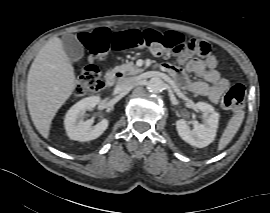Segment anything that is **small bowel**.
Returning a JSON list of instances; mask_svg holds the SVG:
<instances>
[{"label": "small bowel", "instance_id": "obj_1", "mask_svg": "<svg viewBox=\"0 0 270 213\" xmlns=\"http://www.w3.org/2000/svg\"><path fill=\"white\" fill-rule=\"evenodd\" d=\"M217 63V57L208 50L203 59L189 58L182 54L178 57L177 65L163 63L161 69L170 73L177 80L184 78L185 73L200 78L201 80L198 81H187L184 86L194 93L206 96L212 103L217 104L221 95L230 87V82L216 70Z\"/></svg>", "mask_w": 270, "mask_h": 213}]
</instances>
